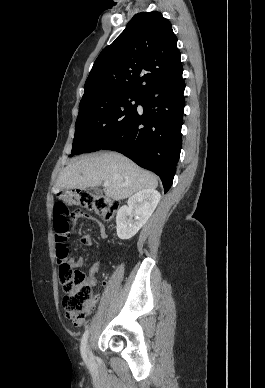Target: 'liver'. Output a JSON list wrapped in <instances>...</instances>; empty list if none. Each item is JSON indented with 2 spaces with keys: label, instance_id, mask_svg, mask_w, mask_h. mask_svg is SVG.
I'll return each instance as SVG.
<instances>
[{
  "label": "liver",
  "instance_id": "liver-1",
  "mask_svg": "<svg viewBox=\"0 0 265 388\" xmlns=\"http://www.w3.org/2000/svg\"><path fill=\"white\" fill-rule=\"evenodd\" d=\"M102 182H109L105 194L113 200H125L140 190H155L158 186L154 174L141 170L121 154L108 152L91 158H74L58 176L55 190H85L101 186Z\"/></svg>",
  "mask_w": 265,
  "mask_h": 388
}]
</instances>
